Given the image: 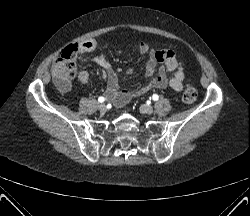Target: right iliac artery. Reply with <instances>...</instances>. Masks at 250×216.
Listing matches in <instances>:
<instances>
[{
    "label": "right iliac artery",
    "instance_id": "obj_1",
    "mask_svg": "<svg viewBox=\"0 0 250 216\" xmlns=\"http://www.w3.org/2000/svg\"><path fill=\"white\" fill-rule=\"evenodd\" d=\"M98 101L102 103V102L105 101V98H104V97H99V98H98Z\"/></svg>",
    "mask_w": 250,
    "mask_h": 216
}]
</instances>
